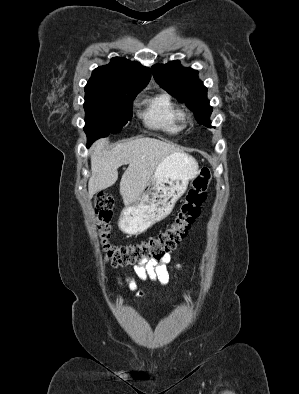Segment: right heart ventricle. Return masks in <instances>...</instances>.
Here are the masks:
<instances>
[{"mask_svg":"<svg viewBox=\"0 0 299 394\" xmlns=\"http://www.w3.org/2000/svg\"><path fill=\"white\" fill-rule=\"evenodd\" d=\"M140 115L149 128L168 134H177L185 126L182 109L166 93L146 98Z\"/></svg>","mask_w":299,"mask_h":394,"instance_id":"obj_1","label":"right heart ventricle"}]
</instances>
